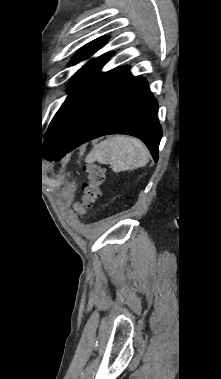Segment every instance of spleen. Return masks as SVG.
<instances>
[{
  "label": "spleen",
  "mask_w": 221,
  "mask_h": 379,
  "mask_svg": "<svg viewBox=\"0 0 221 379\" xmlns=\"http://www.w3.org/2000/svg\"><path fill=\"white\" fill-rule=\"evenodd\" d=\"M96 161L110 164L114 172L132 171L148 163L149 152L136 138L113 136L96 145L86 158L87 163Z\"/></svg>",
  "instance_id": "3e777b00"
}]
</instances>
